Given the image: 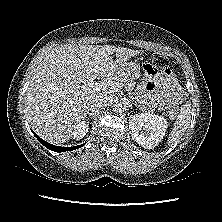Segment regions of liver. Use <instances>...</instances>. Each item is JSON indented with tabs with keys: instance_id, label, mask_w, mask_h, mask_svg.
<instances>
[{
	"instance_id": "obj_1",
	"label": "liver",
	"mask_w": 222,
	"mask_h": 222,
	"mask_svg": "<svg viewBox=\"0 0 222 222\" xmlns=\"http://www.w3.org/2000/svg\"><path fill=\"white\" fill-rule=\"evenodd\" d=\"M114 53L116 61L111 58ZM140 53L112 45L66 44L52 50L36 67L26 92L25 110L32 129L52 144L68 141L89 111L90 100L100 94L85 83L119 73L127 60Z\"/></svg>"
}]
</instances>
